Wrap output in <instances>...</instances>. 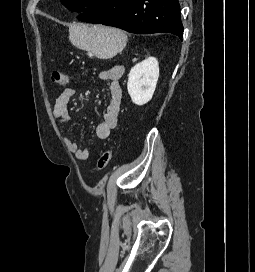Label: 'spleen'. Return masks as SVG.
<instances>
[{
    "label": "spleen",
    "instance_id": "1",
    "mask_svg": "<svg viewBox=\"0 0 255 272\" xmlns=\"http://www.w3.org/2000/svg\"><path fill=\"white\" fill-rule=\"evenodd\" d=\"M70 42L97 58L109 59L120 53L127 44L124 31L102 25L73 24L69 27Z\"/></svg>",
    "mask_w": 255,
    "mask_h": 272
}]
</instances>
